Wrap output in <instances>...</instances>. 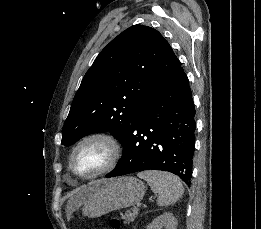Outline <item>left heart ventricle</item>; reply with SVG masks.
Wrapping results in <instances>:
<instances>
[{"mask_svg": "<svg viewBox=\"0 0 261 229\" xmlns=\"http://www.w3.org/2000/svg\"><path fill=\"white\" fill-rule=\"evenodd\" d=\"M108 160L107 148L99 142H90L78 149L74 156L75 168L83 173H94Z\"/></svg>", "mask_w": 261, "mask_h": 229, "instance_id": "left-heart-ventricle-1", "label": "left heart ventricle"}]
</instances>
